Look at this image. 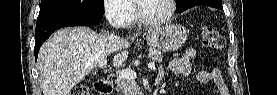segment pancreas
<instances>
[{
  "mask_svg": "<svg viewBox=\"0 0 277 95\" xmlns=\"http://www.w3.org/2000/svg\"><path fill=\"white\" fill-rule=\"evenodd\" d=\"M149 58L152 62H162L163 56L159 50H150ZM116 90L121 95H137L139 93V86L134 80L117 78L116 80Z\"/></svg>",
  "mask_w": 277,
  "mask_h": 95,
  "instance_id": "cf45deb5",
  "label": "pancreas"
}]
</instances>
